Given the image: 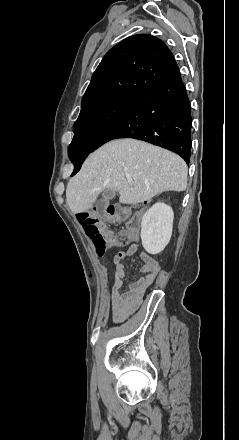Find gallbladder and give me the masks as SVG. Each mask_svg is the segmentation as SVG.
Segmentation results:
<instances>
[{
  "instance_id": "obj_1",
  "label": "gallbladder",
  "mask_w": 239,
  "mask_h": 440,
  "mask_svg": "<svg viewBox=\"0 0 239 440\" xmlns=\"http://www.w3.org/2000/svg\"><path fill=\"white\" fill-rule=\"evenodd\" d=\"M102 196L104 200H112L115 196V190H104Z\"/></svg>"
}]
</instances>
